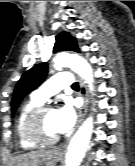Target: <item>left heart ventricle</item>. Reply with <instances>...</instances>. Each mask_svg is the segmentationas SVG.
Instances as JSON below:
<instances>
[{"label":"left heart ventricle","mask_w":135,"mask_h":166,"mask_svg":"<svg viewBox=\"0 0 135 166\" xmlns=\"http://www.w3.org/2000/svg\"><path fill=\"white\" fill-rule=\"evenodd\" d=\"M41 129L45 136L54 137L59 135L55 129L54 111L46 113L41 120Z\"/></svg>","instance_id":"obj_1"}]
</instances>
